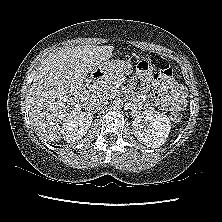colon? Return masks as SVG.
<instances>
[{"instance_id":"colon-1","label":"colon","mask_w":222,"mask_h":222,"mask_svg":"<svg viewBox=\"0 0 222 222\" xmlns=\"http://www.w3.org/2000/svg\"><path fill=\"white\" fill-rule=\"evenodd\" d=\"M169 69V65L165 61V59L156 53L151 54L146 61L140 63L138 67L139 73H152L156 71H160L161 73L167 72ZM171 119L174 122H178L181 119V114L176 111L171 114Z\"/></svg>"}]
</instances>
